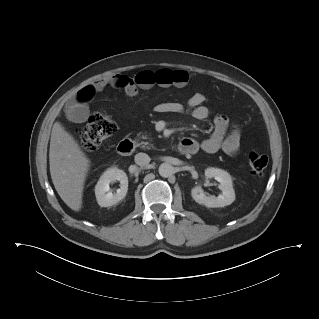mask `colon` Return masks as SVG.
I'll return each mask as SVG.
<instances>
[{"mask_svg": "<svg viewBox=\"0 0 319 319\" xmlns=\"http://www.w3.org/2000/svg\"><path fill=\"white\" fill-rule=\"evenodd\" d=\"M116 131L117 124L112 118L102 113H95L79 131L80 144L85 150L94 151ZM248 162L252 173L261 175L267 167L268 157L263 153L251 152Z\"/></svg>", "mask_w": 319, "mask_h": 319, "instance_id": "1", "label": "colon"}]
</instances>
